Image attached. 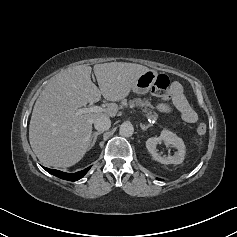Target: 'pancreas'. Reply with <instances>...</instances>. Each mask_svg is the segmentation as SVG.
<instances>
[{
    "label": "pancreas",
    "instance_id": "1",
    "mask_svg": "<svg viewBox=\"0 0 237 237\" xmlns=\"http://www.w3.org/2000/svg\"><path fill=\"white\" fill-rule=\"evenodd\" d=\"M129 105L134 107V106H139L142 109L144 113H146V117L151 120H156L158 118V114L153 111V106L150 104V102L146 99H141V98H135L133 100L129 101Z\"/></svg>",
    "mask_w": 237,
    "mask_h": 237
}]
</instances>
